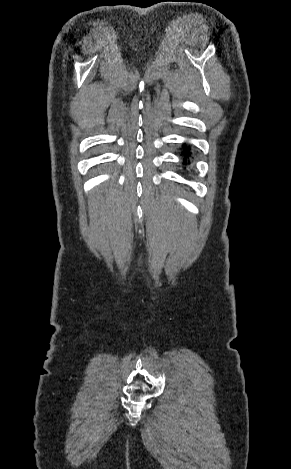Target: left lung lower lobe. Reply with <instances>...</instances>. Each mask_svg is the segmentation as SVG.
<instances>
[{"instance_id": "left-lung-lower-lobe-1", "label": "left lung lower lobe", "mask_w": 291, "mask_h": 469, "mask_svg": "<svg viewBox=\"0 0 291 469\" xmlns=\"http://www.w3.org/2000/svg\"><path fill=\"white\" fill-rule=\"evenodd\" d=\"M181 156L183 158V165H189L193 159L192 151L189 145L185 143L182 145Z\"/></svg>"}]
</instances>
